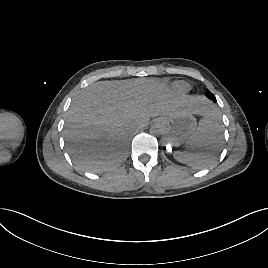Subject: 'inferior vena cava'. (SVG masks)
<instances>
[{
	"instance_id": "602c4592",
	"label": "inferior vena cava",
	"mask_w": 268,
	"mask_h": 268,
	"mask_svg": "<svg viewBox=\"0 0 268 268\" xmlns=\"http://www.w3.org/2000/svg\"><path fill=\"white\" fill-rule=\"evenodd\" d=\"M136 129H137V127H134V128L131 130V132L135 131Z\"/></svg>"
}]
</instances>
